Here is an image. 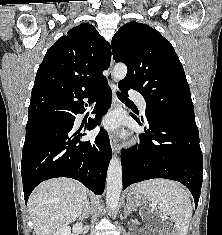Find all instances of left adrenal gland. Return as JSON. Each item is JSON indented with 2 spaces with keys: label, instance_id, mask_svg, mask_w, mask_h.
Here are the masks:
<instances>
[{
  "label": "left adrenal gland",
  "instance_id": "obj_1",
  "mask_svg": "<svg viewBox=\"0 0 222 235\" xmlns=\"http://www.w3.org/2000/svg\"><path fill=\"white\" fill-rule=\"evenodd\" d=\"M125 210H126V213H128V214L130 213V211H129V205H128V204L126 205Z\"/></svg>",
  "mask_w": 222,
  "mask_h": 235
}]
</instances>
